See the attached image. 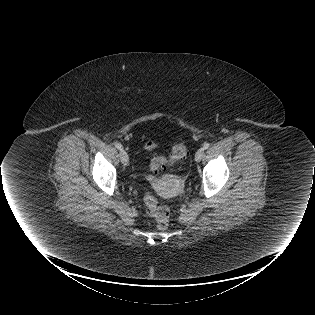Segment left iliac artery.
<instances>
[{"mask_svg": "<svg viewBox=\"0 0 315 315\" xmlns=\"http://www.w3.org/2000/svg\"><path fill=\"white\" fill-rule=\"evenodd\" d=\"M209 146H210V144H209V143H205V144L203 145V149H204V150H206V149H208V148H209Z\"/></svg>", "mask_w": 315, "mask_h": 315, "instance_id": "left-iliac-artery-1", "label": "left iliac artery"}]
</instances>
